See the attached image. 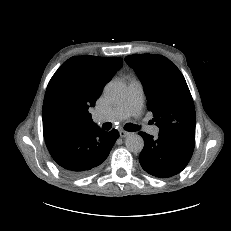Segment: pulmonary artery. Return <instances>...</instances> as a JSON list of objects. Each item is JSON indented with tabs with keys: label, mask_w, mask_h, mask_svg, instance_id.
I'll return each instance as SVG.
<instances>
[{
	"label": "pulmonary artery",
	"mask_w": 231,
	"mask_h": 231,
	"mask_svg": "<svg viewBox=\"0 0 231 231\" xmlns=\"http://www.w3.org/2000/svg\"><path fill=\"white\" fill-rule=\"evenodd\" d=\"M144 104V89L138 79H132L128 84V94L126 100L107 111L97 112L93 119L97 122L120 121L130 116H139ZM146 131L154 136L158 135L159 127L152 125Z\"/></svg>",
	"instance_id": "e3ab8cb5"
}]
</instances>
